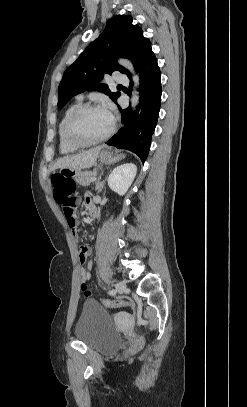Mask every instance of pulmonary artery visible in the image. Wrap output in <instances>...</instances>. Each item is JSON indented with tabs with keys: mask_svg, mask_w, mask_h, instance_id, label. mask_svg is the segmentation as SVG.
I'll return each instance as SVG.
<instances>
[{
	"mask_svg": "<svg viewBox=\"0 0 247 407\" xmlns=\"http://www.w3.org/2000/svg\"><path fill=\"white\" fill-rule=\"evenodd\" d=\"M113 80L120 84H127L129 82L128 76L119 72L114 73ZM78 98L81 99L82 96H79Z\"/></svg>",
	"mask_w": 247,
	"mask_h": 407,
	"instance_id": "1",
	"label": "pulmonary artery"
}]
</instances>
